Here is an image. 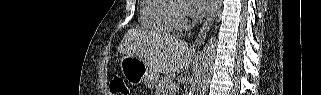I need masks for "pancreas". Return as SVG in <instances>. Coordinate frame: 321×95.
Segmentation results:
<instances>
[{"label": "pancreas", "mask_w": 321, "mask_h": 95, "mask_svg": "<svg viewBox=\"0 0 321 95\" xmlns=\"http://www.w3.org/2000/svg\"><path fill=\"white\" fill-rule=\"evenodd\" d=\"M176 89H178V85L174 80V75L171 73L166 74L156 86L157 95H169L175 93Z\"/></svg>", "instance_id": "1"}]
</instances>
